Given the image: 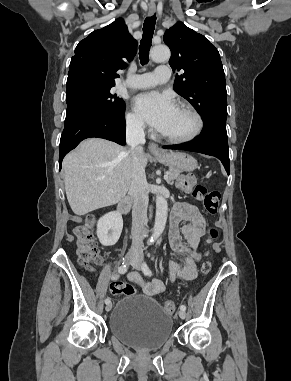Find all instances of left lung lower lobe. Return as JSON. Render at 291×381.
I'll use <instances>...</instances> for the list:
<instances>
[{
    "instance_id": "left-lung-lower-lobe-1",
    "label": "left lung lower lobe",
    "mask_w": 291,
    "mask_h": 381,
    "mask_svg": "<svg viewBox=\"0 0 291 381\" xmlns=\"http://www.w3.org/2000/svg\"><path fill=\"white\" fill-rule=\"evenodd\" d=\"M163 148L187 150L215 156L221 160L229 174V151L226 123H206L204 124L202 133L194 141L181 145H168Z\"/></svg>"
}]
</instances>
